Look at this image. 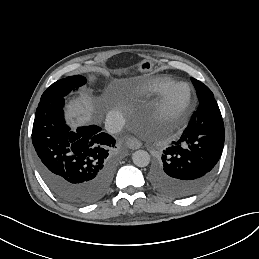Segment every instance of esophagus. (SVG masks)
<instances>
[{
    "label": "esophagus",
    "instance_id": "1",
    "mask_svg": "<svg viewBox=\"0 0 259 259\" xmlns=\"http://www.w3.org/2000/svg\"><path fill=\"white\" fill-rule=\"evenodd\" d=\"M126 144H127L128 148H130V149H139L142 146V143L140 142V140H138L135 137H129L127 139Z\"/></svg>",
    "mask_w": 259,
    "mask_h": 259
}]
</instances>
